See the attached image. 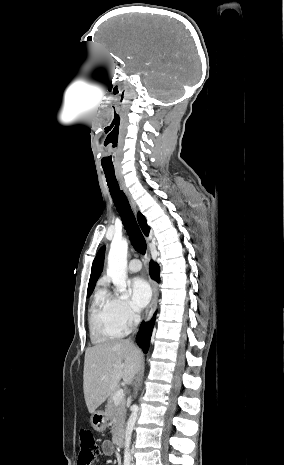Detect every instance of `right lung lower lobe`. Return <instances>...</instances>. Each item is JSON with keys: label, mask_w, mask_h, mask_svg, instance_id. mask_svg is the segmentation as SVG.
I'll use <instances>...</instances> for the list:
<instances>
[{"label": "right lung lower lobe", "mask_w": 284, "mask_h": 465, "mask_svg": "<svg viewBox=\"0 0 284 465\" xmlns=\"http://www.w3.org/2000/svg\"><path fill=\"white\" fill-rule=\"evenodd\" d=\"M159 272H160L159 266L156 265L153 261H151V263H150V275L157 282H159V280H160ZM154 321H155V315H154V317L152 318L151 321H149L147 323L143 322L142 325H141L140 331H139V333L137 335V338H136L138 345L141 348H143V351L145 353L148 351V348H149V342H150V337H151V333H152L153 326H154Z\"/></svg>", "instance_id": "1"}]
</instances>
